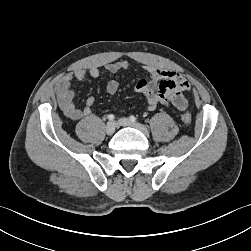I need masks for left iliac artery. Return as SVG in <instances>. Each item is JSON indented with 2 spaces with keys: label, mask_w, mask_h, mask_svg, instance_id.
Returning <instances> with one entry per match:
<instances>
[{
  "label": "left iliac artery",
  "mask_w": 251,
  "mask_h": 251,
  "mask_svg": "<svg viewBox=\"0 0 251 251\" xmlns=\"http://www.w3.org/2000/svg\"><path fill=\"white\" fill-rule=\"evenodd\" d=\"M129 120H130L131 122H136V117L130 116V117H129Z\"/></svg>",
  "instance_id": "obj_1"
}]
</instances>
